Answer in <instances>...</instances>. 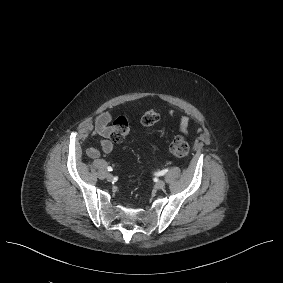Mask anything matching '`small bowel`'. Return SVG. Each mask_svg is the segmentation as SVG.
<instances>
[{"mask_svg": "<svg viewBox=\"0 0 283 283\" xmlns=\"http://www.w3.org/2000/svg\"><path fill=\"white\" fill-rule=\"evenodd\" d=\"M170 115L175 116L174 111H170ZM111 120L112 115L108 111L99 114L95 118L92 135L94 137H100L99 147H88L86 150L88 157L96 159L100 156L101 152L108 154L113 151V144L111 142L112 127L109 125ZM179 128L182 133H189V118L187 116H181L179 118Z\"/></svg>", "mask_w": 283, "mask_h": 283, "instance_id": "c3829d8e", "label": "small bowel"}]
</instances>
